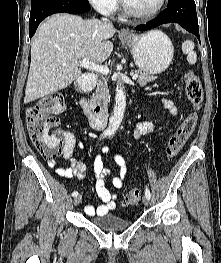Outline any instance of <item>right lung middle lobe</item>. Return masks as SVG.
<instances>
[{"instance_id": "obj_1", "label": "right lung middle lobe", "mask_w": 221, "mask_h": 263, "mask_svg": "<svg viewBox=\"0 0 221 263\" xmlns=\"http://www.w3.org/2000/svg\"><path fill=\"white\" fill-rule=\"evenodd\" d=\"M45 1H49V0H32L31 7H33V6L37 5V4H40L42 2H45Z\"/></svg>"}]
</instances>
